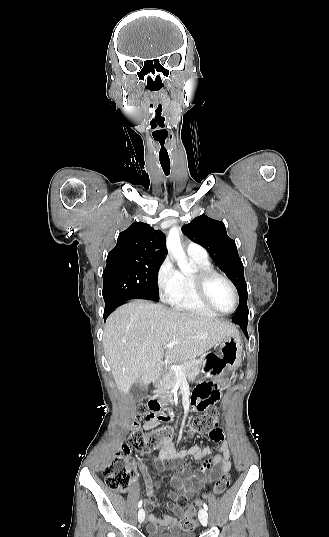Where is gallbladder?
<instances>
[{"label": "gallbladder", "instance_id": "bac80fb5", "mask_svg": "<svg viewBox=\"0 0 329 537\" xmlns=\"http://www.w3.org/2000/svg\"><path fill=\"white\" fill-rule=\"evenodd\" d=\"M145 391V387H143L140 382H136L131 385L129 389V394L134 397H139V395L145 393Z\"/></svg>", "mask_w": 329, "mask_h": 537}]
</instances>
